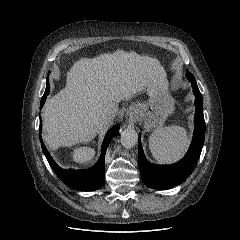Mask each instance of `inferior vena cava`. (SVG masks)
Returning <instances> with one entry per match:
<instances>
[{
    "label": "inferior vena cava",
    "mask_w": 240,
    "mask_h": 240,
    "mask_svg": "<svg viewBox=\"0 0 240 240\" xmlns=\"http://www.w3.org/2000/svg\"><path fill=\"white\" fill-rule=\"evenodd\" d=\"M111 119H112L111 115L109 113L103 111L99 114L97 124H98V126L102 127V126L110 123Z\"/></svg>",
    "instance_id": "obj_1"
}]
</instances>
